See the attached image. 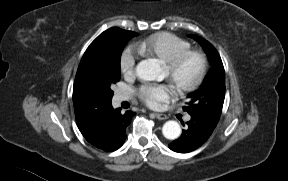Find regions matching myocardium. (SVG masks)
Instances as JSON below:
<instances>
[{
	"mask_svg": "<svg viewBox=\"0 0 288 181\" xmlns=\"http://www.w3.org/2000/svg\"><path fill=\"white\" fill-rule=\"evenodd\" d=\"M196 58L199 62V69L197 75L187 83L176 84L181 92H190L196 89L205 79L208 70V59L204 52L196 49H188L179 53L171 60L165 62V67L168 71L170 79H173L177 70L189 58Z\"/></svg>",
	"mask_w": 288,
	"mask_h": 181,
	"instance_id": "myocardium-1",
	"label": "myocardium"
}]
</instances>
